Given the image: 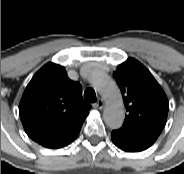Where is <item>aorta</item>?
Here are the masks:
<instances>
[{
  "mask_svg": "<svg viewBox=\"0 0 184 174\" xmlns=\"http://www.w3.org/2000/svg\"><path fill=\"white\" fill-rule=\"evenodd\" d=\"M91 82L107 103L103 114L106 125L112 129L121 127L124 121V105L119 88L103 72H93Z\"/></svg>",
  "mask_w": 184,
  "mask_h": 174,
  "instance_id": "1",
  "label": "aorta"
}]
</instances>
